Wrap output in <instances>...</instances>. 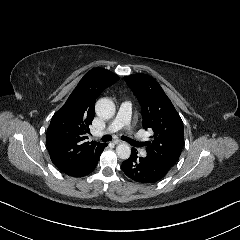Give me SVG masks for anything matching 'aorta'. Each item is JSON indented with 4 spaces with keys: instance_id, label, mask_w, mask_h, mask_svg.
<instances>
[{
    "instance_id": "1",
    "label": "aorta",
    "mask_w": 240,
    "mask_h": 240,
    "mask_svg": "<svg viewBox=\"0 0 240 240\" xmlns=\"http://www.w3.org/2000/svg\"><path fill=\"white\" fill-rule=\"evenodd\" d=\"M95 112L100 118L110 119L115 113L114 101L107 97L100 98L95 104ZM116 153L119 158L127 159L131 154L130 146L127 143H120L116 148Z\"/></svg>"
}]
</instances>
